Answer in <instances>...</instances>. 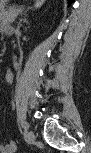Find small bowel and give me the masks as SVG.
Wrapping results in <instances>:
<instances>
[{
  "instance_id": "c3829d8e",
  "label": "small bowel",
  "mask_w": 91,
  "mask_h": 153,
  "mask_svg": "<svg viewBox=\"0 0 91 153\" xmlns=\"http://www.w3.org/2000/svg\"><path fill=\"white\" fill-rule=\"evenodd\" d=\"M2 153H15L16 145L13 141H8L0 146Z\"/></svg>"
}]
</instances>
